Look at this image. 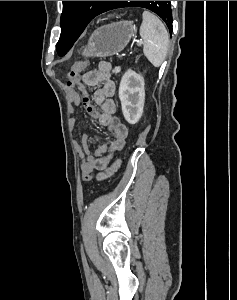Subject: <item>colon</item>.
I'll use <instances>...</instances> for the list:
<instances>
[{"label":"colon","instance_id":"5ec220e1","mask_svg":"<svg viewBox=\"0 0 237 300\" xmlns=\"http://www.w3.org/2000/svg\"><path fill=\"white\" fill-rule=\"evenodd\" d=\"M87 67L86 61H78L76 62L70 69L67 75V83L69 86H77L80 82L79 73ZM83 180L88 182L93 179V175L90 173L83 174Z\"/></svg>","mask_w":237,"mask_h":300}]
</instances>
